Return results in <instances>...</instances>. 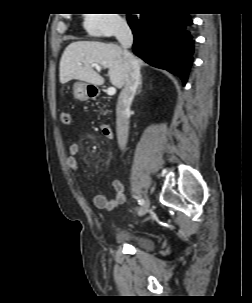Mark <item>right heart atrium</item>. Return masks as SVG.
Returning a JSON list of instances; mask_svg holds the SVG:
<instances>
[{
	"label": "right heart atrium",
	"instance_id": "1",
	"mask_svg": "<svg viewBox=\"0 0 252 303\" xmlns=\"http://www.w3.org/2000/svg\"><path fill=\"white\" fill-rule=\"evenodd\" d=\"M84 19L85 28L101 38L119 36L127 32L128 25L116 14H88Z\"/></svg>",
	"mask_w": 252,
	"mask_h": 303
}]
</instances>
